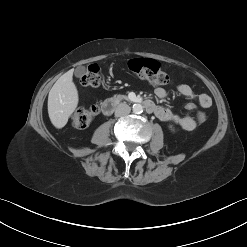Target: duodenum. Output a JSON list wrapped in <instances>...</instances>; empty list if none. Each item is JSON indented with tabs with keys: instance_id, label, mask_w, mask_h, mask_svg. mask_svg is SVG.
<instances>
[{
	"instance_id": "obj_1",
	"label": "duodenum",
	"mask_w": 247,
	"mask_h": 247,
	"mask_svg": "<svg viewBox=\"0 0 247 247\" xmlns=\"http://www.w3.org/2000/svg\"><path fill=\"white\" fill-rule=\"evenodd\" d=\"M118 104H119V102L116 99L105 100L101 106L102 113L105 116L111 115L113 113V111L116 109V107L118 106ZM143 105L146 108V110L149 112H154L156 109L155 103L151 100L143 101Z\"/></svg>"
}]
</instances>
